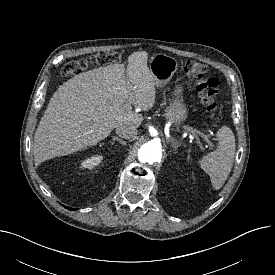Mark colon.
<instances>
[{
    "mask_svg": "<svg viewBox=\"0 0 275 275\" xmlns=\"http://www.w3.org/2000/svg\"><path fill=\"white\" fill-rule=\"evenodd\" d=\"M121 56L116 51H101L89 57L71 60L61 69L65 76L81 73L89 66H106L118 62ZM185 75L195 82L197 93L205 109L214 112L218 109L217 93L219 81L209 76V67L201 62L188 61L183 67Z\"/></svg>",
    "mask_w": 275,
    "mask_h": 275,
    "instance_id": "obj_1",
    "label": "colon"
}]
</instances>
